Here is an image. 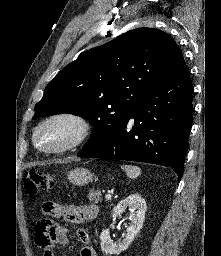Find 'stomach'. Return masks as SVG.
Masks as SVG:
<instances>
[{
	"mask_svg": "<svg viewBox=\"0 0 221 256\" xmlns=\"http://www.w3.org/2000/svg\"><path fill=\"white\" fill-rule=\"evenodd\" d=\"M68 180L77 186H85L93 182L95 176L94 174L86 168H76L70 170L67 174Z\"/></svg>",
	"mask_w": 221,
	"mask_h": 256,
	"instance_id": "1",
	"label": "stomach"
}]
</instances>
